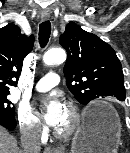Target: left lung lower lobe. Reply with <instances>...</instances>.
<instances>
[{"label": "left lung lower lobe", "mask_w": 130, "mask_h": 153, "mask_svg": "<svg viewBox=\"0 0 130 153\" xmlns=\"http://www.w3.org/2000/svg\"><path fill=\"white\" fill-rule=\"evenodd\" d=\"M124 100H125V99H122V100H120V101H124ZM96 114H98V113L95 112V111H92V112L89 113L88 117L91 118V117H93V116L96 115Z\"/></svg>", "instance_id": "left-lung-lower-lobe-1"}]
</instances>
